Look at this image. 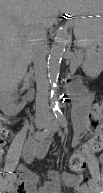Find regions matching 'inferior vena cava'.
<instances>
[{"instance_id":"602c4592","label":"inferior vena cava","mask_w":103,"mask_h":193,"mask_svg":"<svg viewBox=\"0 0 103 193\" xmlns=\"http://www.w3.org/2000/svg\"><path fill=\"white\" fill-rule=\"evenodd\" d=\"M46 53L47 43L45 35L34 37L31 43V57L34 64L35 79L37 84V118H47L50 116V107L48 101L49 83L47 79Z\"/></svg>"}]
</instances>
